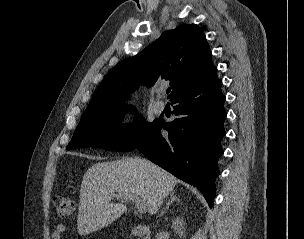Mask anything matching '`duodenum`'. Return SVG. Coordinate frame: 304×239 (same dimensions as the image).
<instances>
[{"mask_svg":"<svg viewBox=\"0 0 304 239\" xmlns=\"http://www.w3.org/2000/svg\"><path fill=\"white\" fill-rule=\"evenodd\" d=\"M131 233L138 237V239H151V232L149 227L140 225L132 229Z\"/></svg>","mask_w":304,"mask_h":239,"instance_id":"obj_1","label":"duodenum"}]
</instances>
